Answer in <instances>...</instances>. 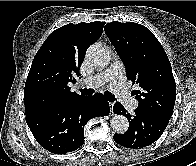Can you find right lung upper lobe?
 <instances>
[{"instance_id": "obj_1", "label": "right lung upper lobe", "mask_w": 196, "mask_h": 166, "mask_svg": "<svg viewBox=\"0 0 196 166\" xmlns=\"http://www.w3.org/2000/svg\"><path fill=\"white\" fill-rule=\"evenodd\" d=\"M104 22L67 24L53 31L38 50L24 88L26 116L80 97L69 82L79 76L88 47L102 35Z\"/></svg>"}]
</instances>
